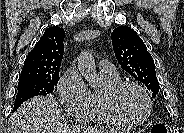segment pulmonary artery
Listing matches in <instances>:
<instances>
[{
    "mask_svg": "<svg viewBox=\"0 0 184 133\" xmlns=\"http://www.w3.org/2000/svg\"><path fill=\"white\" fill-rule=\"evenodd\" d=\"M99 66H100V69L103 70V71H107V72H111V73H117L115 66L107 60L101 61Z\"/></svg>",
    "mask_w": 184,
    "mask_h": 133,
    "instance_id": "1",
    "label": "pulmonary artery"
}]
</instances>
